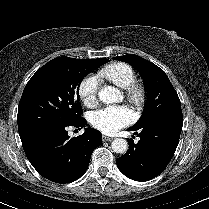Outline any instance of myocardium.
Wrapping results in <instances>:
<instances>
[{"label": "myocardium", "instance_id": "1", "mask_svg": "<svg viewBox=\"0 0 209 209\" xmlns=\"http://www.w3.org/2000/svg\"><path fill=\"white\" fill-rule=\"evenodd\" d=\"M143 98V91L139 86L133 85L127 90V99L130 103L140 106L143 102Z\"/></svg>", "mask_w": 209, "mask_h": 209}]
</instances>
